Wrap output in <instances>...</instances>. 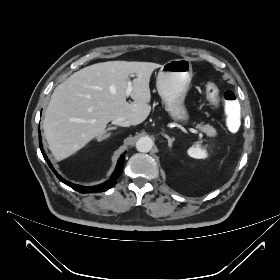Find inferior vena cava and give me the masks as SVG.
<instances>
[{
    "instance_id": "obj_1",
    "label": "inferior vena cava",
    "mask_w": 280,
    "mask_h": 280,
    "mask_svg": "<svg viewBox=\"0 0 280 280\" xmlns=\"http://www.w3.org/2000/svg\"><path fill=\"white\" fill-rule=\"evenodd\" d=\"M112 123L115 124V125L122 126V127H129L131 125V122L124 117L115 118L112 121Z\"/></svg>"
}]
</instances>
